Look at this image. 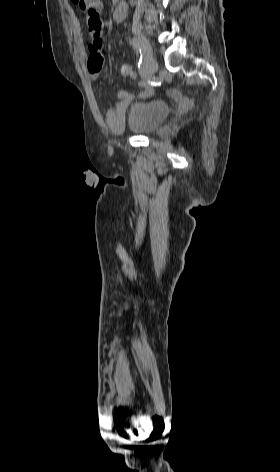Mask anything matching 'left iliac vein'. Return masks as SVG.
I'll list each match as a JSON object with an SVG mask.
<instances>
[{
	"instance_id": "left-iliac-vein-1",
	"label": "left iliac vein",
	"mask_w": 280,
	"mask_h": 472,
	"mask_svg": "<svg viewBox=\"0 0 280 472\" xmlns=\"http://www.w3.org/2000/svg\"><path fill=\"white\" fill-rule=\"evenodd\" d=\"M149 48V54L146 62V69L149 73L153 74L158 70V63L152 56V48L147 42H143Z\"/></svg>"
}]
</instances>
